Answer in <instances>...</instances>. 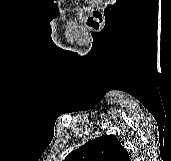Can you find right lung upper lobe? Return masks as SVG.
Instances as JSON below:
<instances>
[{
    "label": "right lung upper lobe",
    "mask_w": 171,
    "mask_h": 161,
    "mask_svg": "<svg viewBox=\"0 0 171 161\" xmlns=\"http://www.w3.org/2000/svg\"><path fill=\"white\" fill-rule=\"evenodd\" d=\"M64 161H130V157L116 136L105 135L74 150Z\"/></svg>",
    "instance_id": "cb5924a9"
}]
</instances>
